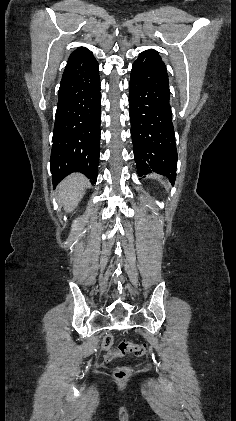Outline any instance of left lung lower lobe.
Listing matches in <instances>:
<instances>
[{
	"label": "left lung lower lobe",
	"mask_w": 236,
	"mask_h": 421,
	"mask_svg": "<svg viewBox=\"0 0 236 421\" xmlns=\"http://www.w3.org/2000/svg\"><path fill=\"white\" fill-rule=\"evenodd\" d=\"M164 62L155 50L142 52L133 63L129 105L131 137L138 176L153 172L176 179L177 149Z\"/></svg>",
	"instance_id": "obj_1"
}]
</instances>
